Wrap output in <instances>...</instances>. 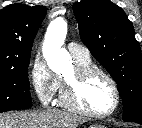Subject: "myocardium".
<instances>
[{"instance_id": "obj_1", "label": "myocardium", "mask_w": 142, "mask_h": 128, "mask_svg": "<svg viewBox=\"0 0 142 128\" xmlns=\"http://www.w3.org/2000/svg\"><path fill=\"white\" fill-rule=\"evenodd\" d=\"M75 77L72 81L64 78L63 80V105L68 109L91 118H106L113 115L119 108L121 96L115 79L104 69L97 66H80L75 67ZM101 75L110 83L115 97L114 106L111 110L104 113H97L86 109L80 101V88L92 76Z\"/></svg>"}]
</instances>
